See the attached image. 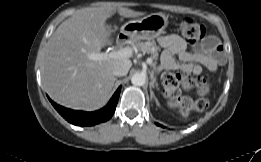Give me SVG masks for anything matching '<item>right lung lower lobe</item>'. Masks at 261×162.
Returning <instances> with one entry per match:
<instances>
[{
	"label": "right lung lower lobe",
	"mask_w": 261,
	"mask_h": 162,
	"mask_svg": "<svg viewBox=\"0 0 261 162\" xmlns=\"http://www.w3.org/2000/svg\"><path fill=\"white\" fill-rule=\"evenodd\" d=\"M121 87L117 89L108 104L94 112L75 111L53 102L49 97L51 104L68 122L76 126H93L101 122L109 120L115 112L116 105L119 99Z\"/></svg>",
	"instance_id": "98d812e1"
}]
</instances>
